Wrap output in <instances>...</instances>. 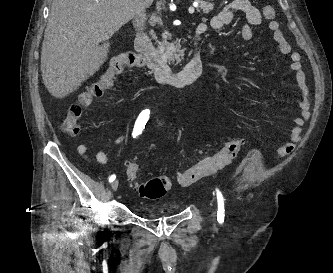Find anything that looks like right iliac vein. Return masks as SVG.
I'll list each match as a JSON object with an SVG mask.
<instances>
[{"instance_id":"obj_1","label":"right iliac vein","mask_w":333,"mask_h":273,"mask_svg":"<svg viewBox=\"0 0 333 273\" xmlns=\"http://www.w3.org/2000/svg\"><path fill=\"white\" fill-rule=\"evenodd\" d=\"M118 185H119L118 180L113 181L112 184H111V188H112V190H113V191H116L117 188H118Z\"/></svg>"}]
</instances>
